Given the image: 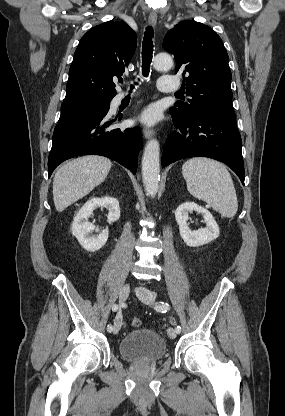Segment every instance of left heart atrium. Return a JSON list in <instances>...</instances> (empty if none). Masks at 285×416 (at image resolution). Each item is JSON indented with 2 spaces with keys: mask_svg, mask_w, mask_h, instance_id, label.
<instances>
[{
  "mask_svg": "<svg viewBox=\"0 0 285 416\" xmlns=\"http://www.w3.org/2000/svg\"><path fill=\"white\" fill-rule=\"evenodd\" d=\"M140 120L147 125H153L158 120V113L152 106L147 107L141 114Z\"/></svg>",
  "mask_w": 285,
  "mask_h": 416,
  "instance_id": "1",
  "label": "left heart atrium"
}]
</instances>
